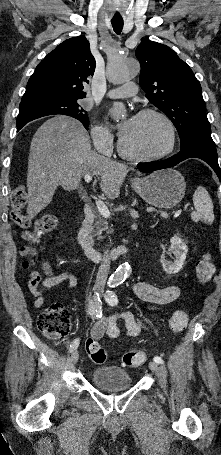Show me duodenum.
Returning <instances> with one entry per match:
<instances>
[{"label":"duodenum","instance_id":"410a0bca","mask_svg":"<svg viewBox=\"0 0 221 455\" xmlns=\"http://www.w3.org/2000/svg\"><path fill=\"white\" fill-rule=\"evenodd\" d=\"M85 218L78 230L77 241L84 253L91 259L96 261H113L120 255L126 252V247L123 245L112 249L108 254H104L95 248L89 237V230L95 219V212L92 206H85Z\"/></svg>","mask_w":221,"mask_h":455}]
</instances>
